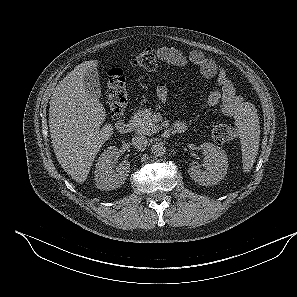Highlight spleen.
<instances>
[{
	"label": "spleen",
	"instance_id": "1",
	"mask_svg": "<svg viewBox=\"0 0 297 297\" xmlns=\"http://www.w3.org/2000/svg\"><path fill=\"white\" fill-rule=\"evenodd\" d=\"M238 134L241 140L244 172H249L255 162L259 141L260 125L256 109L251 107L236 117Z\"/></svg>",
	"mask_w": 297,
	"mask_h": 297
}]
</instances>
